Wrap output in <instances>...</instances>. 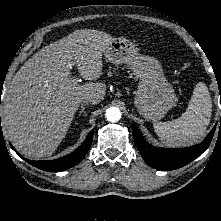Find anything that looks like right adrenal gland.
<instances>
[{"instance_id": "obj_1", "label": "right adrenal gland", "mask_w": 221, "mask_h": 221, "mask_svg": "<svg viewBox=\"0 0 221 221\" xmlns=\"http://www.w3.org/2000/svg\"><path fill=\"white\" fill-rule=\"evenodd\" d=\"M83 114L84 117L87 116V112L85 111V104L81 105V110L79 111V116Z\"/></svg>"}]
</instances>
